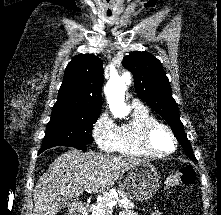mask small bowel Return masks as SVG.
Here are the masks:
<instances>
[{
    "instance_id": "obj_1",
    "label": "small bowel",
    "mask_w": 221,
    "mask_h": 215,
    "mask_svg": "<svg viewBox=\"0 0 221 215\" xmlns=\"http://www.w3.org/2000/svg\"><path fill=\"white\" fill-rule=\"evenodd\" d=\"M120 215H137V214L134 213L133 211L126 210V211L121 212ZM150 215H161V213L158 211H153L150 213Z\"/></svg>"
}]
</instances>
